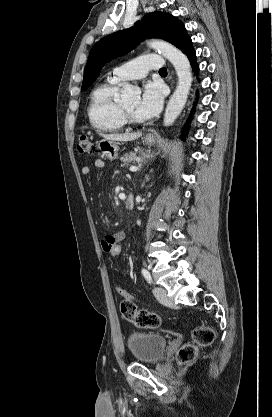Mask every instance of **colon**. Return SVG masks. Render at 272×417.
Listing matches in <instances>:
<instances>
[{"label": "colon", "instance_id": "obj_1", "mask_svg": "<svg viewBox=\"0 0 272 417\" xmlns=\"http://www.w3.org/2000/svg\"><path fill=\"white\" fill-rule=\"evenodd\" d=\"M77 150L82 155H93L95 146L87 136H81L78 140ZM123 240L111 241L106 248V252L113 258H117L123 251ZM116 291L122 297L120 311L122 316L139 328H157L160 325V318L157 314L138 309L136 300L122 287L117 286ZM215 332L209 326H201L193 333L192 343L184 345L178 354L181 363L191 362L197 355L198 347L207 346L213 342Z\"/></svg>", "mask_w": 272, "mask_h": 417}]
</instances>
